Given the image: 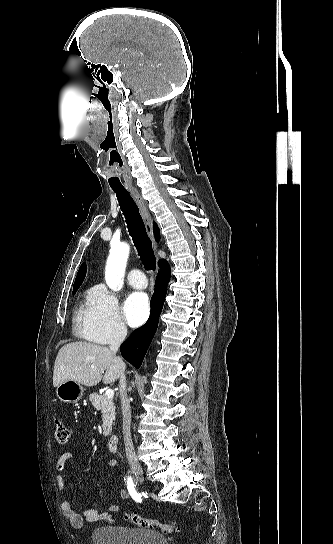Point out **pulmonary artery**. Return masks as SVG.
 <instances>
[{
    "instance_id": "1",
    "label": "pulmonary artery",
    "mask_w": 333,
    "mask_h": 544,
    "mask_svg": "<svg viewBox=\"0 0 333 544\" xmlns=\"http://www.w3.org/2000/svg\"><path fill=\"white\" fill-rule=\"evenodd\" d=\"M128 282L136 289H144L147 286V279L144 273L138 269H134L129 272Z\"/></svg>"
}]
</instances>
